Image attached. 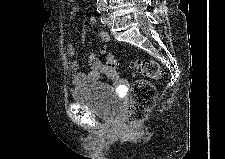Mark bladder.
Listing matches in <instances>:
<instances>
[{
    "instance_id": "1",
    "label": "bladder",
    "mask_w": 225,
    "mask_h": 159,
    "mask_svg": "<svg viewBox=\"0 0 225 159\" xmlns=\"http://www.w3.org/2000/svg\"><path fill=\"white\" fill-rule=\"evenodd\" d=\"M72 98L78 105L84 106L105 120H114L121 112V100L116 92L101 81H92L77 86Z\"/></svg>"
}]
</instances>
